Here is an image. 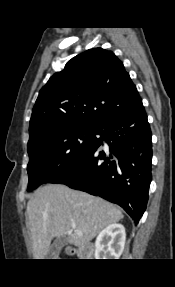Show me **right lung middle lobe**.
<instances>
[{
  "mask_svg": "<svg viewBox=\"0 0 175 287\" xmlns=\"http://www.w3.org/2000/svg\"><path fill=\"white\" fill-rule=\"evenodd\" d=\"M100 126L84 125L63 130L28 144V191L67 172L81 162L98 143Z\"/></svg>",
  "mask_w": 175,
  "mask_h": 287,
  "instance_id": "1",
  "label": "right lung middle lobe"
}]
</instances>
